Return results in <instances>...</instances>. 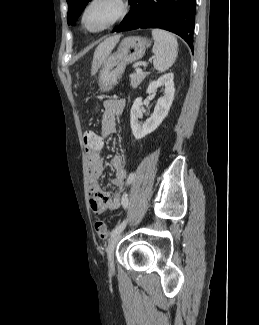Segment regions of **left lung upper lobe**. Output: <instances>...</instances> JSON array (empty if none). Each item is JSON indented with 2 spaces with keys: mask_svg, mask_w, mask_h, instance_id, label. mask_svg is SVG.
<instances>
[{
  "mask_svg": "<svg viewBox=\"0 0 259 325\" xmlns=\"http://www.w3.org/2000/svg\"><path fill=\"white\" fill-rule=\"evenodd\" d=\"M90 0H67L68 15L67 22L69 25H74L77 18Z\"/></svg>",
  "mask_w": 259,
  "mask_h": 325,
  "instance_id": "obj_1",
  "label": "left lung upper lobe"
}]
</instances>
